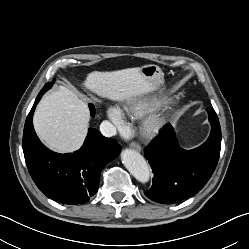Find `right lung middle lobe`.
<instances>
[{
	"instance_id": "1",
	"label": "right lung middle lobe",
	"mask_w": 249,
	"mask_h": 249,
	"mask_svg": "<svg viewBox=\"0 0 249 249\" xmlns=\"http://www.w3.org/2000/svg\"><path fill=\"white\" fill-rule=\"evenodd\" d=\"M51 86H52V83L45 84V86L43 87V89L40 92H42L44 94L48 89L51 88ZM89 108H90L91 116H94L95 115L94 106L92 104H89Z\"/></svg>"
}]
</instances>
